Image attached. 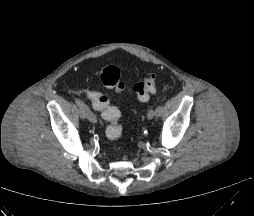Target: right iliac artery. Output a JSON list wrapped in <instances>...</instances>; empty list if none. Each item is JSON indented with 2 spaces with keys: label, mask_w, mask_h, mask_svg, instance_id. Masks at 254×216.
I'll return each mask as SVG.
<instances>
[{
  "label": "right iliac artery",
  "mask_w": 254,
  "mask_h": 216,
  "mask_svg": "<svg viewBox=\"0 0 254 216\" xmlns=\"http://www.w3.org/2000/svg\"><path fill=\"white\" fill-rule=\"evenodd\" d=\"M74 100H75V103L78 105V107L83 109L86 112L88 119L92 123H97L98 120L96 115L84 104V102L78 98H75Z\"/></svg>",
  "instance_id": "1"
}]
</instances>
